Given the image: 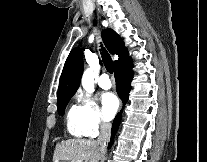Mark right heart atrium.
I'll use <instances>...</instances> for the list:
<instances>
[{
  "mask_svg": "<svg viewBox=\"0 0 207 162\" xmlns=\"http://www.w3.org/2000/svg\"><path fill=\"white\" fill-rule=\"evenodd\" d=\"M81 103L85 133L90 137L96 136L101 128L107 127L108 123L103 119L100 108L94 100L82 96Z\"/></svg>",
  "mask_w": 207,
  "mask_h": 162,
  "instance_id": "d8ad5b80",
  "label": "right heart atrium"
}]
</instances>
